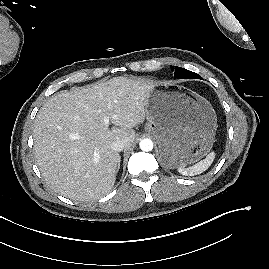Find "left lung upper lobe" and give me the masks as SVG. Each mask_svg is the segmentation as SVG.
Segmentation results:
<instances>
[{"label":"left lung upper lobe","mask_w":269,"mask_h":269,"mask_svg":"<svg viewBox=\"0 0 269 269\" xmlns=\"http://www.w3.org/2000/svg\"><path fill=\"white\" fill-rule=\"evenodd\" d=\"M172 71H174V77L180 79H188V78H195V79H202L200 75L196 74L195 72H191L181 67H172Z\"/></svg>","instance_id":"5c2ea615"}]
</instances>
